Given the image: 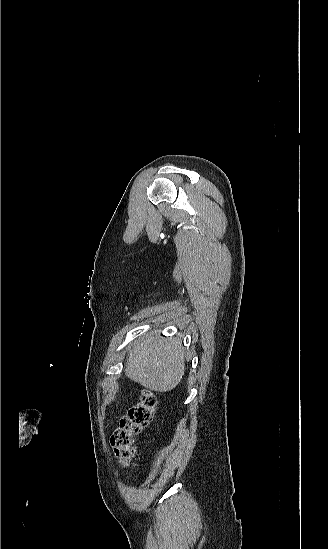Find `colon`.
<instances>
[{
    "instance_id": "5ec220e1",
    "label": "colon",
    "mask_w": 328,
    "mask_h": 549,
    "mask_svg": "<svg viewBox=\"0 0 328 549\" xmlns=\"http://www.w3.org/2000/svg\"><path fill=\"white\" fill-rule=\"evenodd\" d=\"M157 408V398L151 391H144L138 404L131 407L120 420L111 437V444L122 466L131 464L136 454L134 437L147 426Z\"/></svg>"
}]
</instances>
